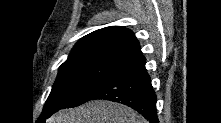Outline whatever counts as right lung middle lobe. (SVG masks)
Listing matches in <instances>:
<instances>
[{
	"label": "right lung middle lobe",
	"mask_w": 221,
	"mask_h": 123,
	"mask_svg": "<svg viewBox=\"0 0 221 123\" xmlns=\"http://www.w3.org/2000/svg\"><path fill=\"white\" fill-rule=\"evenodd\" d=\"M129 59L126 55L106 50L70 54L59 67L42 115L87 102L94 88Z\"/></svg>",
	"instance_id": "obj_1"
}]
</instances>
